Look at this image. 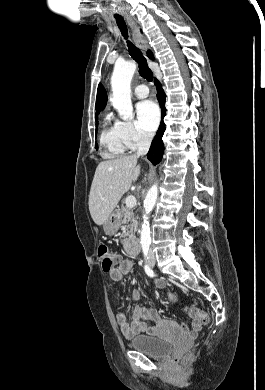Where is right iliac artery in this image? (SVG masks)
<instances>
[{
	"instance_id": "1",
	"label": "right iliac artery",
	"mask_w": 265,
	"mask_h": 390,
	"mask_svg": "<svg viewBox=\"0 0 265 390\" xmlns=\"http://www.w3.org/2000/svg\"><path fill=\"white\" fill-rule=\"evenodd\" d=\"M148 249H149L148 247H143V252H144V256L145 257H147ZM144 269H145L146 274L149 277H154L155 276L153 270L150 268V266L147 263L145 264Z\"/></svg>"
}]
</instances>
